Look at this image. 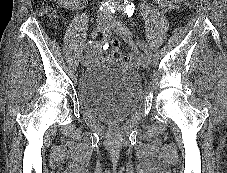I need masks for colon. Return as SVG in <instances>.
Returning <instances> with one entry per match:
<instances>
[{"label":"colon","mask_w":227,"mask_h":173,"mask_svg":"<svg viewBox=\"0 0 227 173\" xmlns=\"http://www.w3.org/2000/svg\"><path fill=\"white\" fill-rule=\"evenodd\" d=\"M209 0H187V3L192 8L204 7L208 4ZM42 12L45 14H52L51 10L47 7L42 8ZM111 52L114 59L122 60L127 64L133 65L135 58L131 53H124L120 49L119 42L114 40L111 43Z\"/></svg>","instance_id":"5ec220e1"}]
</instances>
